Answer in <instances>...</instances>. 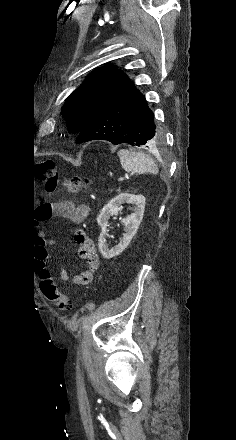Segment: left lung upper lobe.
<instances>
[{"label":"left lung upper lobe","instance_id":"left-lung-upper-lobe-1","mask_svg":"<svg viewBox=\"0 0 236 440\" xmlns=\"http://www.w3.org/2000/svg\"><path fill=\"white\" fill-rule=\"evenodd\" d=\"M131 85L130 79L112 65L93 71L66 99L62 108L69 132L80 133L108 103Z\"/></svg>","mask_w":236,"mask_h":440}]
</instances>
